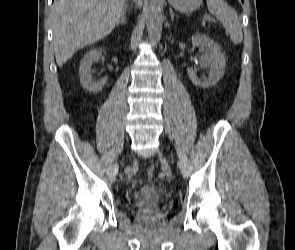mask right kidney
Here are the masks:
<instances>
[{
	"instance_id": "1",
	"label": "right kidney",
	"mask_w": 295,
	"mask_h": 250,
	"mask_svg": "<svg viewBox=\"0 0 295 250\" xmlns=\"http://www.w3.org/2000/svg\"><path fill=\"white\" fill-rule=\"evenodd\" d=\"M102 55V49H94L87 52L80 62L79 76L80 83L84 89L89 92L98 93L102 90L107 82V77L95 82L92 79V64L98 62Z\"/></svg>"
}]
</instances>
